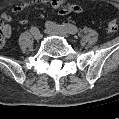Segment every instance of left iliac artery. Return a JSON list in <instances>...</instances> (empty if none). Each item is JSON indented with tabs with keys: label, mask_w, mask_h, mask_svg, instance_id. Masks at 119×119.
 <instances>
[{
	"label": "left iliac artery",
	"mask_w": 119,
	"mask_h": 119,
	"mask_svg": "<svg viewBox=\"0 0 119 119\" xmlns=\"http://www.w3.org/2000/svg\"><path fill=\"white\" fill-rule=\"evenodd\" d=\"M46 27H50L53 29H58V30H63L69 34H76L78 33V28L75 25L72 24H63V25H58L55 24L54 22L47 21L46 22Z\"/></svg>",
	"instance_id": "44dca946"
}]
</instances>
